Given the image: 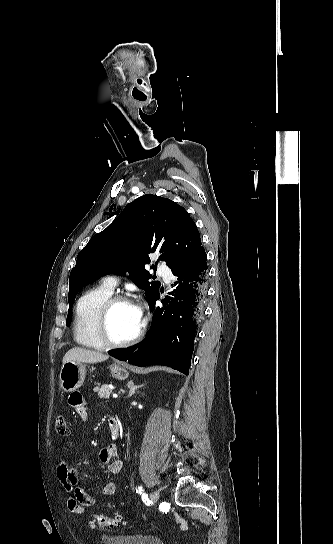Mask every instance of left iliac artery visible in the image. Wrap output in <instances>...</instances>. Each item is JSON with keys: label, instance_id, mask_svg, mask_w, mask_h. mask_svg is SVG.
<instances>
[{"label": "left iliac artery", "instance_id": "obj_1", "mask_svg": "<svg viewBox=\"0 0 333 544\" xmlns=\"http://www.w3.org/2000/svg\"><path fill=\"white\" fill-rule=\"evenodd\" d=\"M142 491H143V489H142L141 486H138V487L136 488V492H137V493H142Z\"/></svg>", "mask_w": 333, "mask_h": 544}]
</instances>
